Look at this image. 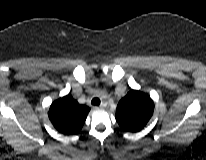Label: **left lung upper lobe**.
I'll return each mask as SVG.
<instances>
[{
  "instance_id": "5c2ea615",
  "label": "left lung upper lobe",
  "mask_w": 206,
  "mask_h": 160,
  "mask_svg": "<svg viewBox=\"0 0 206 160\" xmlns=\"http://www.w3.org/2000/svg\"><path fill=\"white\" fill-rule=\"evenodd\" d=\"M154 112V102L147 94L130 90L123 97L116 109V121L127 132L142 130L151 119Z\"/></svg>"
}]
</instances>
